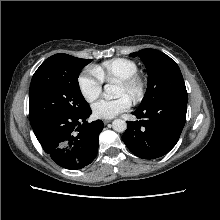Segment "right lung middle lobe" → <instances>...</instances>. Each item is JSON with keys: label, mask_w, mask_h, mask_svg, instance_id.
I'll list each match as a JSON object with an SVG mask.
<instances>
[{"label": "right lung middle lobe", "mask_w": 220, "mask_h": 220, "mask_svg": "<svg viewBox=\"0 0 220 220\" xmlns=\"http://www.w3.org/2000/svg\"><path fill=\"white\" fill-rule=\"evenodd\" d=\"M92 59L55 54L34 73L29 92V118L34 127L54 116L79 114L89 108L78 84L81 69Z\"/></svg>", "instance_id": "right-lung-middle-lobe-1"}]
</instances>
